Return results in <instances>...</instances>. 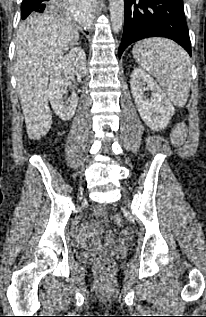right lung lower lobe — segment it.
Wrapping results in <instances>:
<instances>
[{"label": "right lung lower lobe", "instance_id": "right-lung-lower-lobe-1", "mask_svg": "<svg viewBox=\"0 0 206 317\" xmlns=\"http://www.w3.org/2000/svg\"><path fill=\"white\" fill-rule=\"evenodd\" d=\"M56 1L57 0H23V2L32 7V11L35 13H43L51 10Z\"/></svg>", "mask_w": 206, "mask_h": 317}]
</instances>
